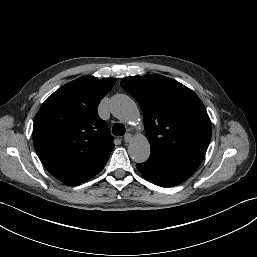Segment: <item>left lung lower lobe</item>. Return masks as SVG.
Wrapping results in <instances>:
<instances>
[{"label": "left lung lower lobe", "instance_id": "left-lung-lower-lobe-1", "mask_svg": "<svg viewBox=\"0 0 257 257\" xmlns=\"http://www.w3.org/2000/svg\"><path fill=\"white\" fill-rule=\"evenodd\" d=\"M202 160L203 158L194 156L167 158L150 155L146 162L137 164V168L150 182L162 187H172L188 179Z\"/></svg>", "mask_w": 257, "mask_h": 257}]
</instances>
